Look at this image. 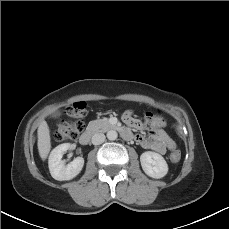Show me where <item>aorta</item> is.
Segmentation results:
<instances>
[{"label":"aorta","instance_id":"762f6f07","mask_svg":"<svg viewBox=\"0 0 229 229\" xmlns=\"http://www.w3.org/2000/svg\"><path fill=\"white\" fill-rule=\"evenodd\" d=\"M118 137V134L115 130H110L107 132V138L111 141L116 140Z\"/></svg>","mask_w":229,"mask_h":229}]
</instances>
